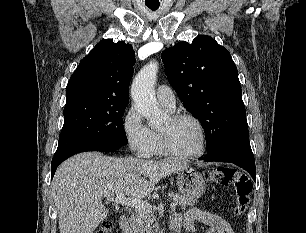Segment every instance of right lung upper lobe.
<instances>
[{
  "instance_id": "obj_1",
  "label": "right lung upper lobe",
  "mask_w": 306,
  "mask_h": 233,
  "mask_svg": "<svg viewBox=\"0 0 306 233\" xmlns=\"http://www.w3.org/2000/svg\"><path fill=\"white\" fill-rule=\"evenodd\" d=\"M135 53L130 44L99 42L71 76L66 103L80 99L129 102Z\"/></svg>"
}]
</instances>
